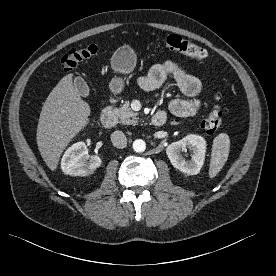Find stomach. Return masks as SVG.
I'll return each instance as SVG.
<instances>
[{
    "instance_id": "1",
    "label": "stomach",
    "mask_w": 276,
    "mask_h": 276,
    "mask_svg": "<svg viewBox=\"0 0 276 276\" xmlns=\"http://www.w3.org/2000/svg\"><path fill=\"white\" fill-rule=\"evenodd\" d=\"M136 65V55L132 48L128 45H123L119 47L113 54L111 59V67L114 71L128 74L131 73ZM110 90L119 94L123 91L124 82L121 78L112 79L110 85Z\"/></svg>"
}]
</instances>
